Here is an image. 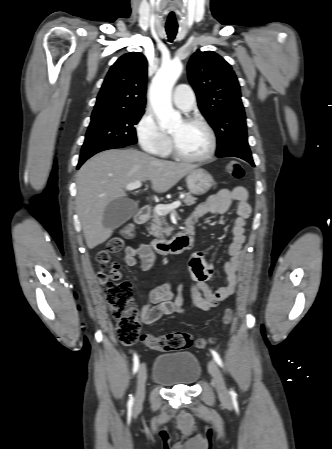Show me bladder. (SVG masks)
Wrapping results in <instances>:
<instances>
[{"label": "bladder", "mask_w": 332, "mask_h": 449, "mask_svg": "<svg viewBox=\"0 0 332 449\" xmlns=\"http://www.w3.org/2000/svg\"><path fill=\"white\" fill-rule=\"evenodd\" d=\"M201 374V363L192 352L161 354L156 357L152 370L153 380L167 387L193 385Z\"/></svg>", "instance_id": "bladder-1"}]
</instances>
